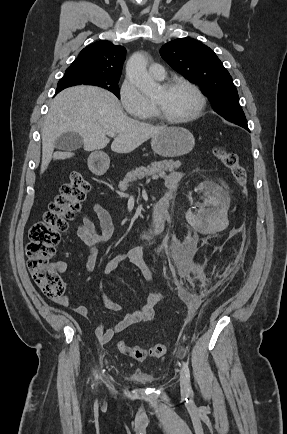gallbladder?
Here are the masks:
<instances>
[{
    "instance_id": "gallbladder-1",
    "label": "gallbladder",
    "mask_w": 287,
    "mask_h": 434,
    "mask_svg": "<svg viewBox=\"0 0 287 434\" xmlns=\"http://www.w3.org/2000/svg\"><path fill=\"white\" fill-rule=\"evenodd\" d=\"M82 145V137L75 132L63 133L55 140V147L66 152L75 151L81 148Z\"/></svg>"
}]
</instances>
